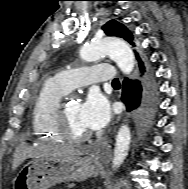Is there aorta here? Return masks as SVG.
<instances>
[{"label": "aorta", "mask_w": 188, "mask_h": 189, "mask_svg": "<svg viewBox=\"0 0 188 189\" xmlns=\"http://www.w3.org/2000/svg\"><path fill=\"white\" fill-rule=\"evenodd\" d=\"M108 55L116 62L120 70L128 75L134 68V54L126 42L115 37H105L83 46L80 56L87 62H94ZM131 142V132L127 125H122L116 137L113 168H119L125 160Z\"/></svg>", "instance_id": "obj_1"}]
</instances>
